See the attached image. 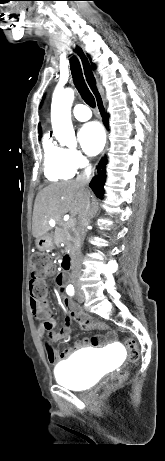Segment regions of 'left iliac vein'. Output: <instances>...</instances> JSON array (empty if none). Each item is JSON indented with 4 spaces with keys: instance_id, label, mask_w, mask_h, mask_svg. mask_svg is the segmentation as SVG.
Here are the masks:
<instances>
[{
    "instance_id": "1",
    "label": "left iliac vein",
    "mask_w": 165,
    "mask_h": 461,
    "mask_svg": "<svg viewBox=\"0 0 165 461\" xmlns=\"http://www.w3.org/2000/svg\"><path fill=\"white\" fill-rule=\"evenodd\" d=\"M78 301H79V302H82V301H83V300L81 299V297H80V294H78Z\"/></svg>"
}]
</instances>
